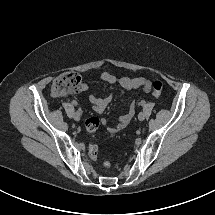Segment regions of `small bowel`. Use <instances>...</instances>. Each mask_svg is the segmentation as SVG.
<instances>
[{"label":"small bowel","instance_id":"c3829d8e","mask_svg":"<svg viewBox=\"0 0 215 215\" xmlns=\"http://www.w3.org/2000/svg\"><path fill=\"white\" fill-rule=\"evenodd\" d=\"M100 78L103 82L107 84H117L121 88L125 90H132L137 88H143L144 91L149 90L150 81L144 77H136V78H130V77H116L115 75L111 74L110 72L104 71L101 73ZM82 90L87 91L88 85L86 83L82 84ZM89 100L92 103V109L95 113L101 114L105 111L107 106L112 101V95H108L105 97H98L93 94L89 95ZM134 113V107L131 106L129 110L123 114L120 118L118 123L114 126L109 128L108 130L110 132H120L127 128L129 125L131 118ZM103 124H106V121H103Z\"/></svg>","mask_w":215,"mask_h":215}]
</instances>
